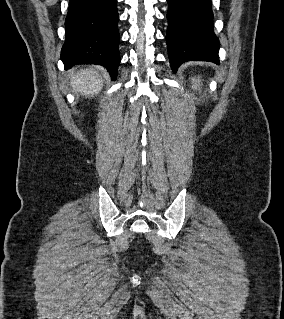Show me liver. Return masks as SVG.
I'll return each instance as SVG.
<instances>
[{"mask_svg":"<svg viewBox=\"0 0 284 319\" xmlns=\"http://www.w3.org/2000/svg\"><path fill=\"white\" fill-rule=\"evenodd\" d=\"M103 78H108L106 73L99 74L95 67L81 69L71 78V86L76 93H81L85 96L98 94L103 86Z\"/></svg>","mask_w":284,"mask_h":319,"instance_id":"1","label":"liver"}]
</instances>
